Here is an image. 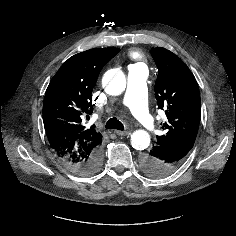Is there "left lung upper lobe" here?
I'll return each mask as SVG.
<instances>
[{
    "instance_id": "obj_1",
    "label": "left lung upper lobe",
    "mask_w": 236,
    "mask_h": 236,
    "mask_svg": "<svg viewBox=\"0 0 236 236\" xmlns=\"http://www.w3.org/2000/svg\"><path fill=\"white\" fill-rule=\"evenodd\" d=\"M151 55L158 68L155 97L158 109L165 110L167 121L161 123L164 134L156 145L193 146L200 122V92L187 65L171 51L156 47Z\"/></svg>"
}]
</instances>
